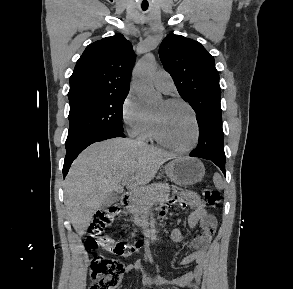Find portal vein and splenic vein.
<instances>
[{
	"label": "portal vein and splenic vein",
	"mask_w": 293,
	"mask_h": 289,
	"mask_svg": "<svg viewBox=\"0 0 293 289\" xmlns=\"http://www.w3.org/2000/svg\"><path fill=\"white\" fill-rule=\"evenodd\" d=\"M132 177L128 178L126 181H125V184H127L132 190H133V193H139V192H144L146 190V188H142V187H137L136 185L133 186L131 184H129V182L132 181Z\"/></svg>",
	"instance_id": "obj_1"
}]
</instances>
